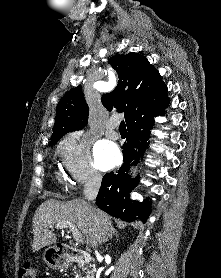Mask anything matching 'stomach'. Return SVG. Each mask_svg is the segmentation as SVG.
Here are the masks:
<instances>
[{
    "instance_id": "stomach-1",
    "label": "stomach",
    "mask_w": 221,
    "mask_h": 278,
    "mask_svg": "<svg viewBox=\"0 0 221 278\" xmlns=\"http://www.w3.org/2000/svg\"><path fill=\"white\" fill-rule=\"evenodd\" d=\"M44 261L52 269H60L65 266L64 257L59 254L58 249L55 246L48 247L44 252Z\"/></svg>"
}]
</instances>
